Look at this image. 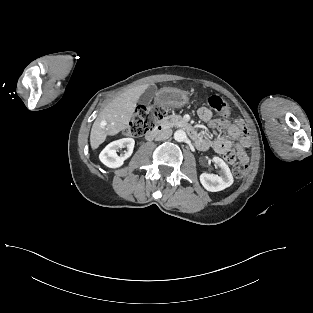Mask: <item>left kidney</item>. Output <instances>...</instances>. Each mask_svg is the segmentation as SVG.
Here are the masks:
<instances>
[{"instance_id":"1","label":"left kidney","mask_w":313,"mask_h":313,"mask_svg":"<svg viewBox=\"0 0 313 313\" xmlns=\"http://www.w3.org/2000/svg\"><path fill=\"white\" fill-rule=\"evenodd\" d=\"M213 162L221 168L220 176L204 172L200 175V182L207 191L217 192L231 186L234 180L228 165L221 158L214 157Z\"/></svg>"}]
</instances>
